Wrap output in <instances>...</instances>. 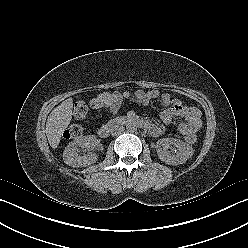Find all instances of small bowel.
<instances>
[{"label": "small bowel", "instance_id": "small-bowel-1", "mask_svg": "<svg viewBox=\"0 0 248 248\" xmlns=\"http://www.w3.org/2000/svg\"><path fill=\"white\" fill-rule=\"evenodd\" d=\"M107 102L104 104L105 110L111 114H116L123 100H131L139 104L147 105L154 99H160L165 109L160 113V119L163 123L169 124L174 117H181L183 121L178 125V131L186 139L189 136L196 135L202 126L201 113L194 107L183 104L179 99L171 97L167 93H161L159 90H137L134 93L129 91H115L112 94L104 93ZM149 132L158 137L162 134V128L157 124H149Z\"/></svg>", "mask_w": 248, "mask_h": 248}]
</instances>
